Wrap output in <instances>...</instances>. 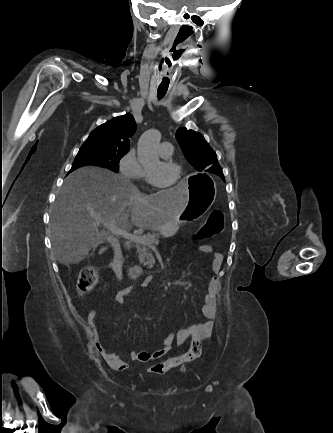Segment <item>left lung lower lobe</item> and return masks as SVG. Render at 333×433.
I'll list each match as a JSON object with an SVG mask.
<instances>
[{
  "label": "left lung lower lobe",
  "mask_w": 333,
  "mask_h": 433,
  "mask_svg": "<svg viewBox=\"0 0 333 433\" xmlns=\"http://www.w3.org/2000/svg\"><path fill=\"white\" fill-rule=\"evenodd\" d=\"M220 177L224 180V176L223 175H220Z\"/></svg>",
  "instance_id": "1"
}]
</instances>
